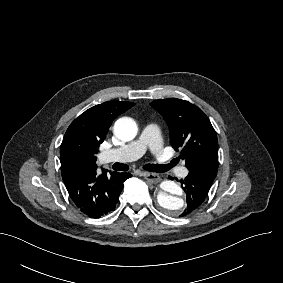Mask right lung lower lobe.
I'll use <instances>...</instances> for the list:
<instances>
[{
	"label": "right lung lower lobe",
	"mask_w": 283,
	"mask_h": 283,
	"mask_svg": "<svg viewBox=\"0 0 283 283\" xmlns=\"http://www.w3.org/2000/svg\"><path fill=\"white\" fill-rule=\"evenodd\" d=\"M102 171L98 176L96 169H83L62 177L75 206L91 218H100L115 209L123 182L131 177L125 172Z\"/></svg>",
	"instance_id": "obj_1"
}]
</instances>
